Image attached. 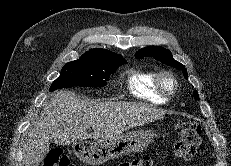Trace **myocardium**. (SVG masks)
Listing matches in <instances>:
<instances>
[{"label":"myocardium","instance_id":"f54148a6","mask_svg":"<svg viewBox=\"0 0 231 166\" xmlns=\"http://www.w3.org/2000/svg\"><path fill=\"white\" fill-rule=\"evenodd\" d=\"M167 82L170 83L169 87L167 86ZM154 86L156 92L160 96H162L165 99H171L178 92L179 82L172 72L164 70L157 73L154 80Z\"/></svg>","mask_w":231,"mask_h":166}]
</instances>
